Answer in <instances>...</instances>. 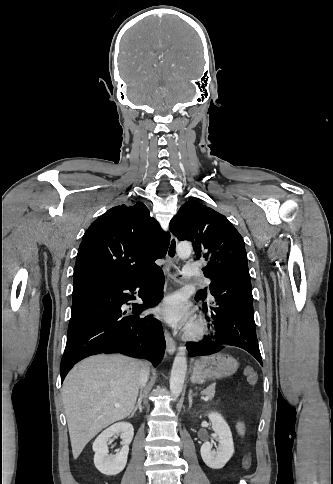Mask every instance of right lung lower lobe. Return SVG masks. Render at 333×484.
Here are the masks:
<instances>
[{
	"mask_svg": "<svg viewBox=\"0 0 333 484\" xmlns=\"http://www.w3.org/2000/svg\"><path fill=\"white\" fill-rule=\"evenodd\" d=\"M164 282L163 271L156 266L133 281L90 280L73 285L72 314L60 366L61 381L75 363L100 353L145 358L157 366L165 351L161 323L152 316L136 313L159 303ZM137 288L145 304H133L132 315L122 305L135 299L129 292Z\"/></svg>",
	"mask_w": 333,
	"mask_h": 484,
	"instance_id": "1",
	"label": "right lung lower lobe"
}]
</instances>
